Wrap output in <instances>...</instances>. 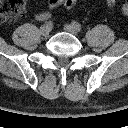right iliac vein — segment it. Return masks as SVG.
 Masks as SVG:
<instances>
[{"label":"right iliac vein","mask_w":128,"mask_h":128,"mask_svg":"<svg viewBox=\"0 0 128 128\" xmlns=\"http://www.w3.org/2000/svg\"><path fill=\"white\" fill-rule=\"evenodd\" d=\"M51 29L47 27L46 25L41 27V33L43 36H48L50 33Z\"/></svg>","instance_id":"right-iliac-vein-1"}]
</instances>
